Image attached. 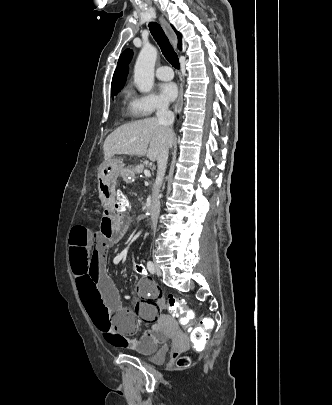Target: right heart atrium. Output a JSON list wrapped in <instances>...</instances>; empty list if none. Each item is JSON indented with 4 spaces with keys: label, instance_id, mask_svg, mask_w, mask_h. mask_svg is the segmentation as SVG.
Masks as SVG:
<instances>
[{
    "label": "right heart atrium",
    "instance_id": "d8ad5b80",
    "mask_svg": "<svg viewBox=\"0 0 332 405\" xmlns=\"http://www.w3.org/2000/svg\"><path fill=\"white\" fill-rule=\"evenodd\" d=\"M133 104L138 116L141 117H148L168 108L167 101L153 93L134 97Z\"/></svg>",
    "mask_w": 332,
    "mask_h": 405
}]
</instances>
